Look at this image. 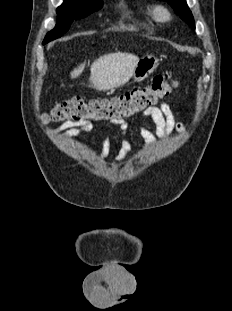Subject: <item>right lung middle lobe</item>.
<instances>
[{
  "label": "right lung middle lobe",
  "mask_w": 232,
  "mask_h": 311,
  "mask_svg": "<svg viewBox=\"0 0 232 311\" xmlns=\"http://www.w3.org/2000/svg\"><path fill=\"white\" fill-rule=\"evenodd\" d=\"M102 5V1H64L63 4L57 8V24L53 30L48 32L43 41V44H46L56 38L61 37L64 33L68 31L73 20L81 19L88 16L92 12L101 8Z\"/></svg>",
  "instance_id": "obj_1"
}]
</instances>
